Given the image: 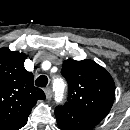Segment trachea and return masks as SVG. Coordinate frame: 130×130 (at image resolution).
I'll use <instances>...</instances> for the list:
<instances>
[{
  "mask_svg": "<svg viewBox=\"0 0 130 130\" xmlns=\"http://www.w3.org/2000/svg\"><path fill=\"white\" fill-rule=\"evenodd\" d=\"M47 84L48 78L44 75L39 76L35 81V85L38 87H46Z\"/></svg>",
  "mask_w": 130,
  "mask_h": 130,
  "instance_id": "trachea-1",
  "label": "trachea"
}]
</instances>
